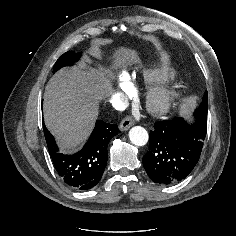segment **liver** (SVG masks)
Instances as JSON below:
<instances>
[{
	"label": "liver",
	"instance_id": "1",
	"mask_svg": "<svg viewBox=\"0 0 236 236\" xmlns=\"http://www.w3.org/2000/svg\"><path fill=\"white\" fill-rule=\"evenodd\" d=\"M120 63L138 62L135 51L121 48L114 53ZM105 70L89 67L65 68L49 81L44 92V121L63 152H71L90 134L98 116L99 100L111 93Z\"/></svg>",
	"mask_w": 236,
	"mask_h": 236
}]
</instances>
